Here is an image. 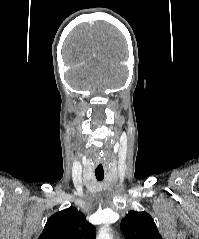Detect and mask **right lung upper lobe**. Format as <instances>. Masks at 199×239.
I'll return each mask as SVG.
<instances>
[{
  "instance_id": "obj_1",
  "label": "right lung upper lobe",
  "mask_w": 199,
  "mask_h": 239,
  "mask_svg": "<svg viewBox=\"0 0 199 239\" xmlns=\"http://www.w3.org/2000/svg\"><path fill=\"white\" fill-rule=\"evenodd\" d=\"M38 239H95V230L74 207L52 215Z\"/></svg>"
}]
</instances>
